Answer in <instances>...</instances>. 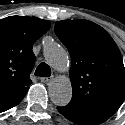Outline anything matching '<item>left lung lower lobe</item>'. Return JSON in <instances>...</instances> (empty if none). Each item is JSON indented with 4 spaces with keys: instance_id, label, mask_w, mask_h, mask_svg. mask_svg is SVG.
I'll use <instances>...</instances> for the list:
<instances>
[{
    "instance_id": "obj_1",
    "label": "left lung lower lobe",
    "mask_w": 125,
    "mask_h": 125,
    "mask_svg": "<svg viewBox=\"0 0 125 125\" xmlns=\"http://www.w3.org/2000/svg\"><path fill=\"white\" fill-rule=\"evenodd\" d=\"M58 111L68 120L79 125H98L111 117L116 110L112 108H102L94 110H74L64 107H57Z\"/></svg>"
}]
</instances>
